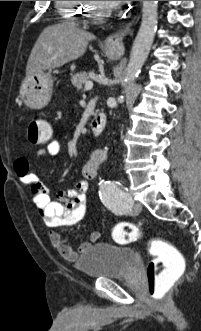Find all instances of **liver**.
Masks as SVG:
<instances>
[{"label":"liver","mask_w":201,"mask_h":331,"mask_svg":"<svg viewBox=\"0 0 201 331\" xmlns=\"http://www.w3.org/2000/svg\"><path fill=\"white\" fill-rule=\"evenodd\" d=\"M96 37L71 22L46 27L37 39L26 66V78L43 74L80 58Z\"/></svg>","instance_id":"obj_1"}]
</instances>
